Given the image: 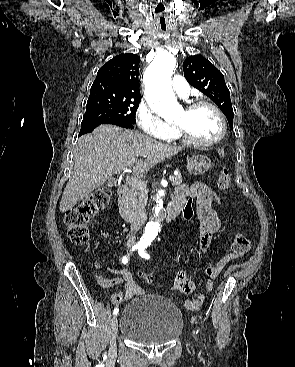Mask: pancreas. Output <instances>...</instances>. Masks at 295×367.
<instances>
[{
    "instance_id": "1",
    "label": "pancreas",
    "mask_w": 295,
    "mask_h": 367,
    "mask_svg": "<svg viewBox=\"0 0 295 367\" xmlns=\"http://www.w3.org/2000/svg\"><path fill=\"white\" fill-rule=\"evenodd\" d=\"M174 179L172 180V185L177 186L182 183V176L181 174L173 176ZM127 200L130 205H133L134 207L139 208L142 210L145 205L147 204V190L144 188L136 187V191H132L128 197Z\"/></svg>"
}]
</instances>
